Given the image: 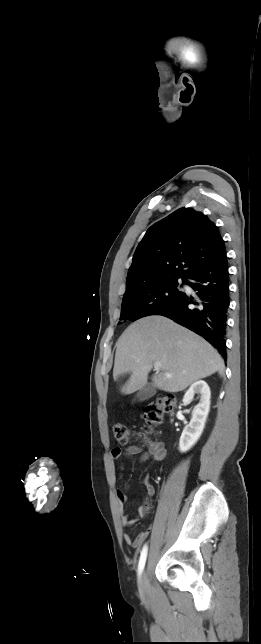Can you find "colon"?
<instances>
[{
  "label": "colon",
  "mask_w": 261,
  "mask_h": 644,
  "mask_svg": "<svg viewBox=\"0 0 261 644\" xmlns=\"http://www.w3.org/2000/svg\"><path fill=\"white\" fill-rule=\"evenodd\" d=\"M177 400L171 394L161 395L144 408L143 419L145 425L141 432V439L144 443L151 445L150 437L157 434V427L162 423L165 414H172L176 407ZM116 440L121 444L129 442L130 434L124 423H117L113 427Z\"/></svg>",
  "instance_id": "1"
}]
</instances>
